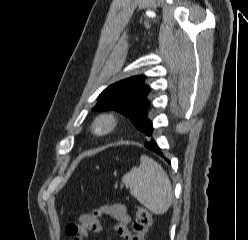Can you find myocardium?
<instances>
[{
  "instance_id": "myocardium-1",
  "label": "myocardium",
  "mask_w": 248,
  "mask_h": 240,
  "mask_svg": "<svg viewBox=\"0 0 248 240\" xmlns=\"http://www.w3.org/2000/svg\"><path fill=\"white\" fill-rule=\"evenodd\" d=\"M118 122L119 120L115 113L103 112L94 119L92 129L97 135H106L115 130ZM102 123H105L104 127H100Z\"/></svg>"
}]
</instances>
